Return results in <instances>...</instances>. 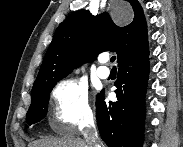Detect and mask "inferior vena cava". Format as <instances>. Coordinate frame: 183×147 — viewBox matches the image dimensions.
<instances>
[{
	"mask_svg": "<svg viewBox=\"0 0 183 147\" xmlns=\"http://www.w3.org/2000/svg\"><path fill=\"white\" fill-rule=\"evenodd\" d=\"M84 138L88 147H102V141L98 137L97 130L93 124L84 133Z\"/></svg>",
	"mask_w": 183,
	"mask_h": 147,
	"instance_id": "1",
	"label": "inferior vena cava"
}]
</instances>
